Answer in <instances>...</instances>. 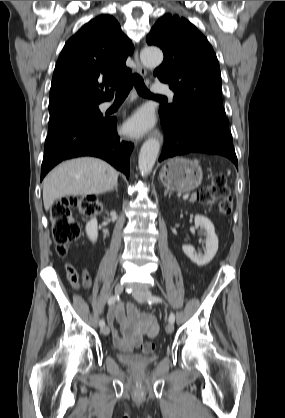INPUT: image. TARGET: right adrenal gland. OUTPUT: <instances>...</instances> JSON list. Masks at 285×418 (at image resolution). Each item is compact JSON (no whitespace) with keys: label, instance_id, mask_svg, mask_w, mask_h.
Returning <instances> with one entry per match:
<instances>
[{"label":"right adrenal gland","instance_id":"2a0ac1e0","mask_svg":"<svg viewBox=\"0 0 285 418\" xmlns=\"http://www.w3.org/2000/svg\"><path fill=\"white\" fill-rule=\"evenodd\" d=\"M113 190H115V191L118 193V184H116V185L114 186V188L110 190V192H111V191H113Z\"/></svg>","mask_w":285,"mask_h":418}]
</instances>
